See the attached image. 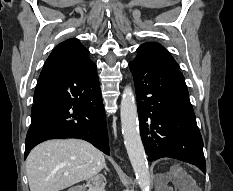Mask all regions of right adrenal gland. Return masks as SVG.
<instances>
[{
	"mask_svg": "<svg viewBox=\"0 0 233 191\" xmlns=\"http://www.w3.org/2000/svg\"><path fill=\"white\" fill-rule=\"evenodd\" d=\"M104 168H105V170H106L107 172H109V169H108V167L106 166V164H104ZM100 176H103V175L100 174ZM104 180H105V178H104Z\"/></svg>",
	"mask_w": 233,
	"mask_h": 191,
	"instance_id": "obj_1",
	"label": "right adrenal gland"
}]
</instances>
